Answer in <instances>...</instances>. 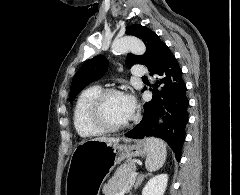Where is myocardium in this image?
Returning <instances> with one entry per match:
<instances>
[{"label":"myocardium","instance_id":"1","mask_svg":"<svg viewBox=\"0 0 240 195\" xmlns=\"http://www.w3.org/2000/svg\"><path fill=\"white\" fill-rule=\"evenodd\" d=\"M123 96V93L119 90L108 89L101 91L92 101L90 105V119L94 125L103 130L104 132H121L129 129L132 123L129 121L125 124L114 125L112 124L106 115V104L112 97Z\"/></svg>","mask_w":240,"mask_h":195}]
</instances>
